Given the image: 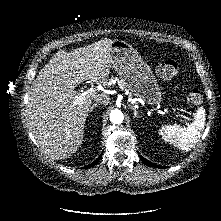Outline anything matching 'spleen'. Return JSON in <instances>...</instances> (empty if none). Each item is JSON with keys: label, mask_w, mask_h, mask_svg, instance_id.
Wrapping results in <instances>:
<instances>
[{"label": "spleen", "mask_w": 221, "mask_h": 221, "mask_svg": "<svg viewBox=\"0 0 221 221\" xmlns=\"http://www.w3.org/2000/svg\"><path fill=\"white\" fill-rule=\"evenodd\" d=\"M205 125V110H197L195 120L186 128H180L176 125H164L160 128L159 133L166 142L174 144L181 150H191L199 141L201 131Z\"/></svg>", "instance_id": "1"}]
</instances>
